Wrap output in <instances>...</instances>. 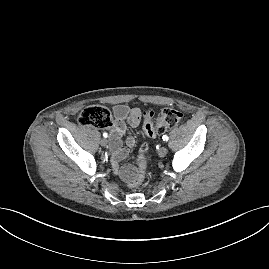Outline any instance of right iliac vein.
<instances>
[{
    "label": "right iliac vein",
    "instance_id": "obj_1",
    "mask_svg": "<svg viewBox=\"0 0 269 269\" xmlns=\"http://www.w3.org/2000/svg\"><path fill=\"white\" fill-rule=\"evenodd\" d=\"M100 144H101V146L105 147V146H107V144H108V140L105 139V138H103V139L100 141Z\"/></svg>",
    "mask_w": 269,
    "mask_h": 269
}]
</instances>
